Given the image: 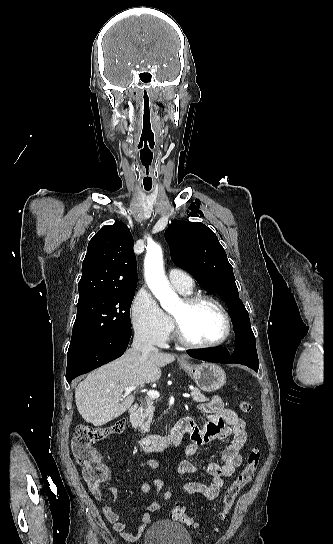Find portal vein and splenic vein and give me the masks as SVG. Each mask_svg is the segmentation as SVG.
I'll list each match as a JSON object with an SVG mask.
<instances>
[{
    "label": "portal vein and splenic vein",
    "mask_w": 333,
    "mask_h": 544,
    "mask_svg": "<svg viewBox=\"0 0 333 544\" xmlns=\"http://www.w3.org/2000/svg\"><path fill=\"white\" fill-rule=\"evenodd\" d=\"M125 395H128L130 394L132 391L135 390V387L134 386H130V387H126L125 389ZM147 395L150 397V398H158L160 396L159 392L156 391V390H149L147 392ZM190 394L189 393H183V397L185 398H190Z\"/></svg>",
    "instance_id": "1"
}]
</instances>
